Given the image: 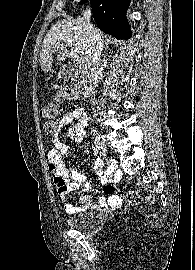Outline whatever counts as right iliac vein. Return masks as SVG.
Returning <instances> with one entry per match:
<instances>
[{
    "mask_svg": "<svg viewBox=\"0 0 195 270\" xmlns=\"http://www.w3.org/2000/svg\"><path fill=\"white\" fill-rule=\"evenodd\" d=\"M94 140L100 155L105 159L107 156V148L99 133H94Z\"/></svg>",
    "mask_w": 195,
    "mask_h": 270,
    "instance_id": "63e3f726",
    "label": "right iliac vein"
}]
</instances>
